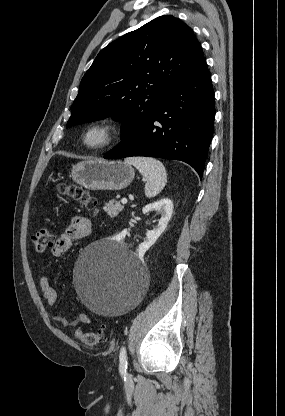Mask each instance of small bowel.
<instances>
[{
  "instance_id": "1",
  "label": "small bowel",
  "mask_w": 285,
  "mask_h": 416,
  "mask_svg": "<svg viewBox=\"0 0 285 416\" xmlns=\"http://www.w3.org/2000/svg\"><path fill=\"white\" fill-rule=\"evenodd\" d=\"M91 229L92 224L88 218L84 216H75L64 232L53 243V246L51 247L53 256H62L69 250L73 241L88 237L91 233ZM39 286L46 302L50 306H54L58 301V294L50 285L46 276H42L40 278ZM52 319L60 323L65 328L76 327L80 324H88L90 322L89 316L85 313H80L73 319L66 318L58 313H53Z\"/></svg>"
}]
</instances>
